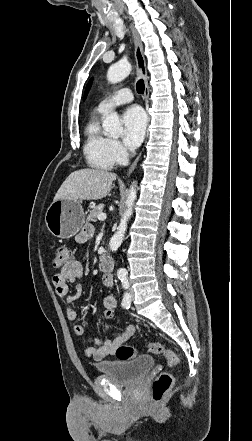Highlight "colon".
Instances as JSON below:
<instances>
[{
  "instance_id": "5ec220e1",
  "label": "colon",
  "mask_w": 252,
  "mask_h": 441,
  "mask_svg": "<svg viewBox=\"0 0 252 441\" xmlns=\"http://www.w3.org/2000/svg\"><path fill=\"white\" fill-rule=\"evenodd\" d=\"M72 260L71 252L66 247H58L55 250L54 257L52 260V268L53 269H62L66 265L70 263ZM115 309L111 304H108L103 307V310L101 312V320L102 321H109L114 317ZM146 349L148 352L161 355L165 357L167 360V367L173 368L178 363V357L177 355L171 351L170 349L166 348L163 344L158 342H149L146 345ZM115 355L122 360L133 358L137 355V351L135 348L127 345L120 346ZM173 384V377L169 370L162 371L154 380L153 386H152V398L155 402H160L166 393L170 390L171 386Z\"/></svg>"
}]
</instances>
